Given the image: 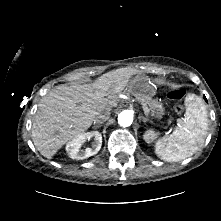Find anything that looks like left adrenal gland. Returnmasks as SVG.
I'll return each mask as SVG.
<instances>
[{
  "mask_svg": "<svg viewBox=\"0 0 221 221\" xmlns=\"http://www.w3.org/2000/svg\"><path fill=\"white\" fill-rule=\"evenodd\" d=\"M141 119L144 123H146L148 121L152 123V121L148 117L141 116Z\"/></svg>",
  "mask_w": 221,
  "mask_h": 221,
  "instance_id": "a2214340",
  "label": "left adrenal gland"
}]
</instances>
